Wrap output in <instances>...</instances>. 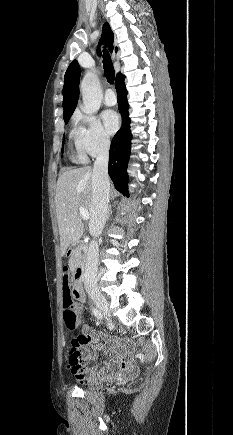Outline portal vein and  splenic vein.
<instances>
[{"label":"portal vein and splenic vein","instance_id":"portal-vein-and-splenic-vein-1","mask_svg":"<svg viewBox=\"0 0 233 435\" xmlns=\"http://www.w3.org/2000/svg\"><path fill=\"white\" fill-rule=\"evenodd\" d=\"M79 211L83 220H88L90 218V214L86 208L80 207Z\"/></svg>","mask_w":233,"mask_h":435}]
</instances>
